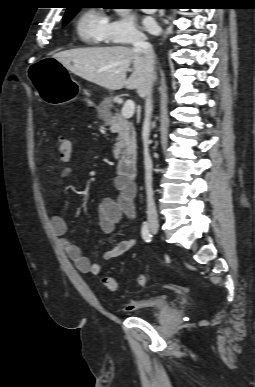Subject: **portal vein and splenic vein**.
I'll return each mask as SVG.
<instances>
[{
	"instance_id": "1",
	"label": "portal vein and splenic vein",
	"mask_w": 255,
	"mask_h": 387,
	"mask_svg": "<svg viewBox=\"0 0 255 387\" xmlns=\"http://www.w3.org/2000/svg\"><path fill=\"white\" fill-rule=\"evenodd\" d=\"M135 111V103L132 100H127L122 108V116L124 119H130L133 117Z\"/></svg>"
}]
</instances>
